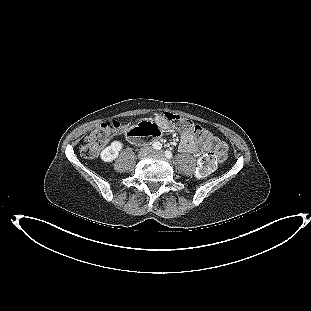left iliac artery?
<instances>
[{
	"mask_svg": "<svg viewBox=\"0 0 311 311\" xmlns=\"http://www.w3.org/2000/svg\"><path fill=\"white\" fill-rule=\"evenodd\" d=\"M165 156H166L168 159H171V158L173 157L171 151H168V150L165 151Z\"/></svg>",
	"mask_w": 311,
	"mask_h": 311,
	"instance_id": "1",
	"label": "left iliac artery"
}]
</instances>
